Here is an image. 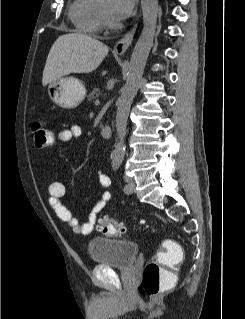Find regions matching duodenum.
Here are the masks:
<instances>
[{
  "label": "duodenum",
  "instance_id": "1",
  "mask_svg": "<svg viewBox=\"0 0 245 319\" xmlns=\"http://www.w3.org/2000/svg\"><path fill=\"white\" fill-rule=\"evenodd\" d=\"M101 136L104 138V139H110L111 136H112V129L110 126H103L101 128Z\"/></svg>",
  "mask_w": 245,
  "mask_h": 319
}]
</instances>
